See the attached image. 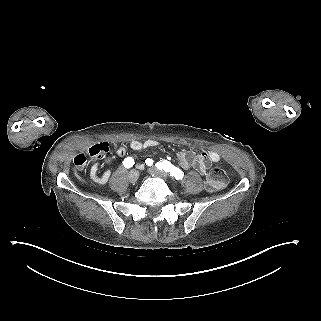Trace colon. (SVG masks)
<instances>
[{
  "label": "colon",
  "instance_id": "5ec220e1",
  "mask_svg": "<svg viewBox=\"0 0 321 321\" xmlns=\"http://www.w3.org/2000/svg\"><path fill=\"white\" fill-rule=\"evenodd\" d=\"M84 158H78L77 161H75V164L78 168H83L84 166ZM227 183V174L224 170V168L220 165L214 166L209 174L206 177V187L208 190L213 191L217 189L223 188Z\"/></svg>",
  "mask_w": 321,
  "mask_h": 321
}]
</instances>
